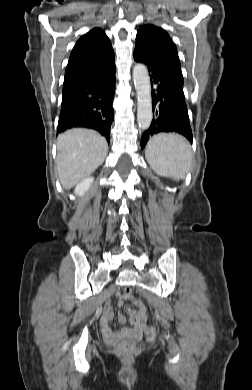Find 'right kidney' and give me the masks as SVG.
Instances as JSON below:
<instances>
[{
  "label": "right kidney",
  "mask_w": 252,
  "mask_h": 390,
  "mask_svg": "<svg viewBox=\"0 0 252 390\" xmlns=\"http://www.w3.org/2000/svg\"><path fill=\"white\" fill-rule=\"evenodd\" d=\"M93 181H94L93 177H88L83 179L76 185L74 193L79 196H82L90 188Z\"/></svg>",
  "instance_id": "obj_1"
}]
</instances>
